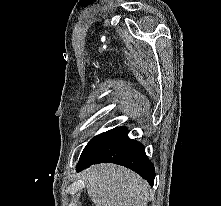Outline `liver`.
<instances>
[{
  "label": "liver",
  "instance_id": "obj_1",
  "mask_svg": "<svg viewBox=\"0 0 221 206\" xmlns=\"http://www.w3.org/2000/svg\"><path fill=\"white\" fill-rule=\"evenodd\" d=\"M85 182L95 206H147L148 184L124 167L94 165L85 172Z\"/></svg>",
  "mask_w": 221,
  "mask_h": 206
}]
</instances>
